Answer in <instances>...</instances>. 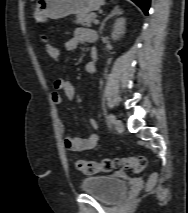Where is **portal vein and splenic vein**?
I'll return each instance as SVG.
<instances>
[{"mask_svg":"<svg viewBox=\"0 0 188 213\" xmlns=\"http://www.w3.org/2000/svg\"><path fill=\"white\" fill-rule=\"evenodd\" d=\"M94 23H95V24H98V23H99V20H98V19H95V20H94Z\"/></svg>","mask_w":188,"mask_h":213,"instance_id":"portal-vein-and-splenic-vein-1","label":"portal vein and splenic vein"}]
</instances>
